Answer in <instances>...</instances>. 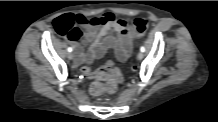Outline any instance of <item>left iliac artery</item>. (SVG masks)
Here are the masks:
<instances>
[{
    "label": "left iliac artery",
    "mask_w": 218,
    "mask_h": 122,
    "mask_svg": "<svg viewBox=\"0 0 218 122\" xmlns=\"http://www.w3.org/2000/svg\"><path fill=\"white\" fill-rule=\"evenodd\" d=\"M140 50H141V52H144L145 51L144 46H141Z\"/></svg>",
    "instance_id": "1"
}]
</instances>
